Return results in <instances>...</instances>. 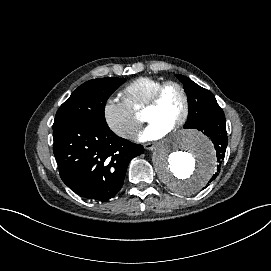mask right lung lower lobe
<instances>
[{
    "label": "right lung lower lobe",
    "mask_w": 271,
    "mask_h": 271,
    "mask_svg": "<svg viewBox=\"0 0 271 271\" xmlns=\"http://www.w3.org/2000/svg\"><path fill=\"white\" fill-rule=\"evenodd\" d=\"M54 156L62 181L79 196L108 201L122 188L129 162L142 145L118 137L107 125L85 121L53 130Z\"/></svg>",
    "instance_id": "right-lung-lower-lobe-1"
}]
</instances>
